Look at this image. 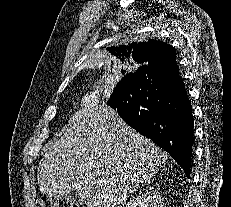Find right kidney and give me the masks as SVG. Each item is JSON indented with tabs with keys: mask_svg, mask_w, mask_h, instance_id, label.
Here are the masks:
<instances>
[{
	"mask_svg": "<svg viewBox=\"0 0 231 207\" xmlns=\"http://www.w3.org/2000/svg\"><path fill=\"white\" fill-rule=\"evenodd\" d=\"M126 207H163L160 194L151 188L130 200Z\"/></svg>",
	"mask_w": 231,
	"mask_h": 207,
	"instance_id": "obj_1",
	"label": "right kidney"
}]
</instances>
